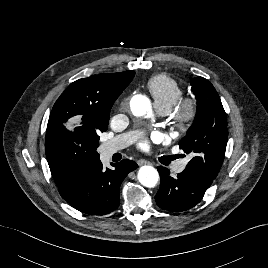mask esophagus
<instances>
[{
	"mask_svg": "<svg viewBox=\"0 0 268 268\" xmlns=\"http://www.w3.org/2000/svg\"><path fill=\"white\" fill-rule=\"evenodd\" d=\"M146 164H150V162L148 160L145 159H140L138 160V165L142 166V165H146Z\"/></svg>",
	"mask_w": 268,
	"mask_h": 268,
	"instance_id": "34e87169",
	"label": "esophagus"
}]
</instances>
